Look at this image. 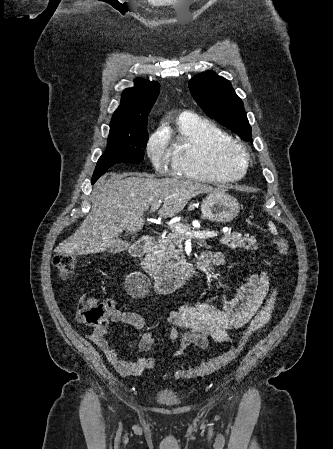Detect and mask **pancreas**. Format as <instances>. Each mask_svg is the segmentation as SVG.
<instances>
[{
    "mask_svg": "<svg viewBox=\"0 0 333 449\" xmlns=\"http://www.w3.org/2000/svg\"><path fill=\"white\" fill-rule=\"evenodd\" d=\"M185 227L188 229L189 225ZM189 237L184 233L173 230L155 248L154 256L159 267L165 272H171L176 269L178 265L184 261V253L182 243L188 240ZM221 243L228 247L235 249L243 247L247 250L257 249L256 239L248 235L242 236L239 232H227L221 236ZM177 247V248H176Z\"/></svg>",
    "mask_w": 333,
    "mask_h": 449,
    "instance_id": "pancreas-1",
    "label": "pancreas"
}]
</instances>
